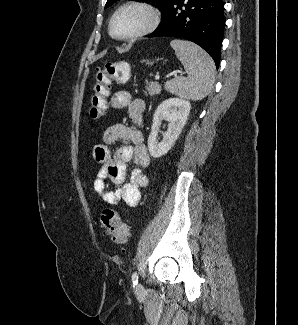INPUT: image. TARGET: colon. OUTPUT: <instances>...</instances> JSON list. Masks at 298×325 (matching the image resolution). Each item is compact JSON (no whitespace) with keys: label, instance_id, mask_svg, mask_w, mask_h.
I'll return each mask as SVG.
<instances>
[{"label":"colon","instance_id":"5ec220e1","mask_svg":"<svg viewBox=\"0 0 298 325\" xmlns=\"http://www.w3.org/2000/svg\"><path fill=\"white\" fill-rule=\"evenodd\" d=\"M129 76L130 66L126 62H107L96 69L89 106V117L92 121H97L105 115L111 85L125 83ZM101 223L105 234L113 243L123 245L128 242L130 229L116 210L104 208L101 212Z\"/></svg>","mask_w":298,"mask_h":325}]
</instances>
